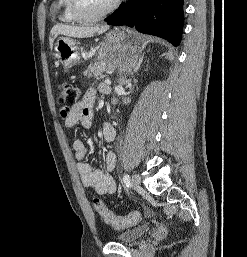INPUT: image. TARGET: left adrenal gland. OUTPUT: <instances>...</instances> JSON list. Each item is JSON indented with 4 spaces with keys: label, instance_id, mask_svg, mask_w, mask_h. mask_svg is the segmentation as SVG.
I'll return each mask as SVG.
<instances>
[{
    "label": "left adrenal gland",
    "instance_id": "1",
    "mask_svg": "<svg viewBox=\"0 0 247 257\" xmlns=\"http://www.w3.org/2000/svg\"><path fill=\"white\" fill-rule=\"evenodd\" d=\"M141 62H142V58H140V60H139V62H138V64H137V66H136V68L134 69V72H136V71L139 69ZM132 74H133V73H132Z\"/></svg>",
    "mask_w": 247,
    "mask_h": 257
}]
</instances>
